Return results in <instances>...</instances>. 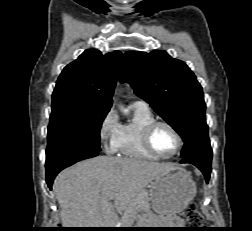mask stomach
Here are the masks:
<instances>
[{"label":"stomach","instance_id":"1","mask_svg":"<svg viewBox=\"0 0 252 231\" xmlns=\"http://www.w3.org/2000/svg\"><path fill=\"white\" fill-rule=\"evenodd\" d=\"M196 184L190 174L177 168L156 178L149 190L151 208L157 214L182 212L196 195Z\"/></svg>","mask_w":252,"mask_h":231}]
</instances>
